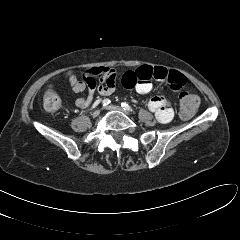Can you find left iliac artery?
<instances>
[{"mask_svg":"<svg viewBox=\"0 0 240 240\" xmlns=\"http://www.w3.org/2000/svg\"><path fill=\"white\" fill-rule=\"evenodd\" d=\"M121 107L127 111H133V109L127 103H121Z\"/></svg>","mask_w":240,"mask_h":240,"instance_id":"obj_1","label":"left iliac artery"}]
</instances>
